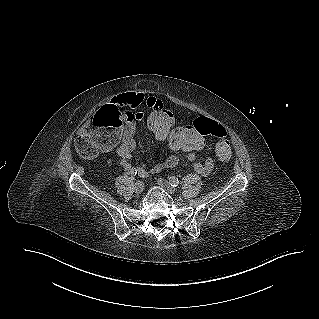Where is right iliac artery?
I'll return each mask as SVG.
<instances>
[{
	"label": "right iliac artery",
	"mask_w": 319,
	"mask_h": 319,
	"mask_svg": "<svg viewBox=\"0 0 319 319\" xmlns=\"http://www.w3.org/2000/svg\"><path fill=\"white\" fill-rule=\"evenodd\" d=\"M131 175H136L137 173L140 175V176H142V177H144L145 175L143 174V173H141L137 168H133L132 170H131Z\"/></svg>",
	"instance_id": "obj_1"
}]
</instances>
